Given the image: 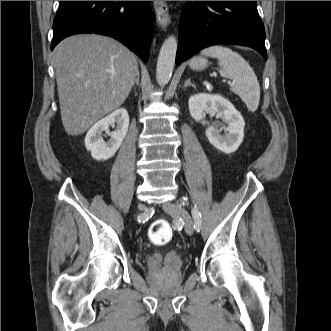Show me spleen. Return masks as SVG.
I'll use <instances>...</instances> for the list:
<instances>
[{"mask_svg":"<svg viewBox=\"0 0 331 331\" xmlns=\"http://www.w3.org/2000/svg\"><path fill=\"white\" fill-rule=\"evenodd\" d=\"M201 54L218 60L220 75L235 82L230 90L239 95L249 111L255 112L260 101V86L249 63L237 52L221 45L205 48Z\"/></svg>","mask_w":331,"mask_h":331,"instance_id":"1","label":"spleen"}]
</instances>
